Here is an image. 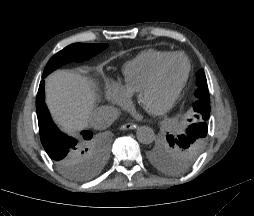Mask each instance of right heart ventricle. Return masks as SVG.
Masks as SVG:
<instances>
[{
	"label": "right heart ventricle",
	"mask_w": 254,
	"mask_h": 216,
	"mask_svg": "<svg viewBox=\"0 0 254 216\" xmlns=\"http://www.w3.org/2000/svg\"><path fill=\"white\" fill-rule=\"evenodd\" d=\"M170 52L159 50H145L127 61L122 66L120 87L128 94L137 93L146 83L155 66Z\"/></svg>",
	"instance_id": "1"
}]
</instances>
